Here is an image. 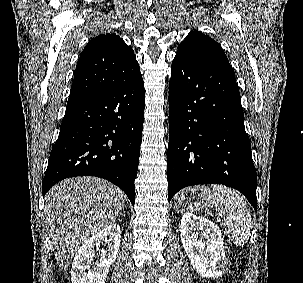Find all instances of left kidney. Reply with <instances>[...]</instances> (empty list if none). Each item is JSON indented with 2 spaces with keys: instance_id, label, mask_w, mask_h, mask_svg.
<instances>
[{
  "instance_id": "left-kidney-1",
  "label": "left kidney",
  "mask_w": 303,
  "mask_h": 283,
  "mask_svg": "<svg viewBox=\"0 0 303 283\" xmlns=\"http://www.w3.org/2000/svg\"><path fill=\"white\" fill-rule=\"evenodd\" d=\"M180 237L193 269L200 276L216 278L224 274L229 263L222 233L216 224L191 213L185 214L181 219Z\"/></svg>"
}]
</instances>
